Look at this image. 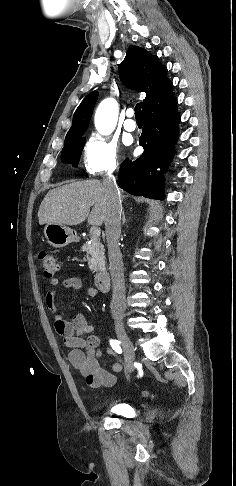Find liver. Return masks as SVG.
Here are the masks:
<instances>
[{
	"mask_svg": "<svg viewBox=\"0 0 236 486\" xmlns=\"http://www.w3.org/2000/svg\"><path fill=\"white\" fill-rule=\"evenodd\" d=\"M108 203L107 191L101 181L72 182L47 193L39 207V224L73 226L88 218L89 224L100 226L105 222Z\"/></svg>",
	"mask_w": 236,
	"mask_h": 486,
	"instance_id": "1",
	"label": "liver"
}]
</instances>
